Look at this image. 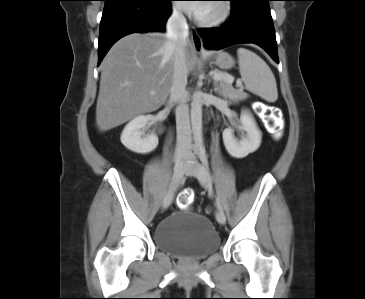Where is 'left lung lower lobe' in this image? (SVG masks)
<instances>
[{
    "instance_id": "obj_1",
    "label": "left lung lower lobe",
    "mask_w": 365,
    "mask_h": 299,
    "mask_svg": "<svg viewBox=\"0 0 365 299\" xmlns=\"http://www.w3.org/2000/svg\"><path fill=\"white\" fill-rule=\"evenodd\" d=\"M228 1L232 3L228 22L219 28L198 30L204 46L208 49H221L238 43H255L279 63L275 30L268 3L271 0Z\"/></svg>"
}]
</instances>
